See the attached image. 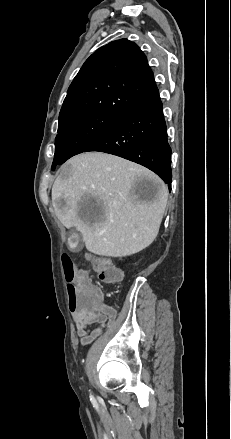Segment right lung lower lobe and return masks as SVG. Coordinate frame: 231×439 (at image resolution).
<instances>
[{
  "label": "right lung lower lobe",
  "mask_w": 231,
  "mask_h": 439,
  "mask_svg": "<svg viewBox=\"0 0 231 439\" xmlns=\"http://www.w3.org/2000/svg\"><path fill=\"white\" fill-rule=\"evenodd\" d=\"M159 95L124 115L84 152L99 151L141 164L171 189V148Z\"/></svg>",
  "instance_id": "right-lung-lower-lobe-1"
}]
</instances>
